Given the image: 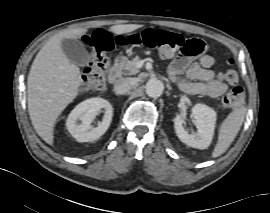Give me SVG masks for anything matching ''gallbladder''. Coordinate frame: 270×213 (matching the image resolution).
Wrapping results in <instances>:
<instances>
[{"instance_id": "gallbladder-1", "label": "gallbladder", "mask_w": 270, "mask_h": 213, "mask_svg": "<svg viewBox=\"0 0 270 213\" xmlns=\"http://www.w3.org/2000/svg\"><path fill=\"white\" fill-rule=\"evenodd\" d=\"M61 48L69 61L78 66H86L90 61V55L84 44L77 39L63 38Z\"/></svg>"}]
</instances>
